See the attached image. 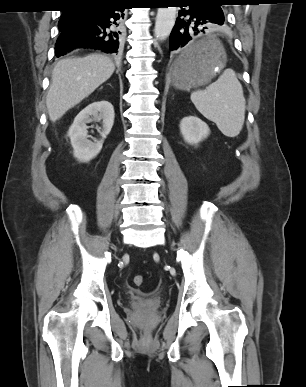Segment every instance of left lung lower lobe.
<instances>
[{
  "mask_svg": "<svg viewBox=\"0 0 306 387\" xmlns=\"http://www.w3.org/2000/svg\"><path fill=\"white\" fill-rule=\"evenodd\" d=\"M186 8H181L179 16L176 19L175 26L171 32L169 39V47L171 50H177L184 47L193 35L200 32L205 33L202 25H223L225 24V17L219 2L201 1V0H180L178 2ZM192 54L188 52L182 56V63L186 64L191 61Z\"/></svg>",
  "mask_w": 306,
  "mask_h": 387,
  "instance_id": "1",
  "label": "left lung lower lobe"
}]
</instances>
